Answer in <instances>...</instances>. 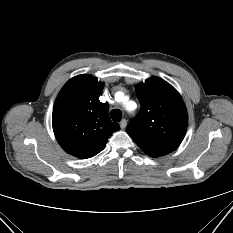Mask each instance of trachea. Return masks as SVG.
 <instances>
[{
	"mask_svg": "<svg viewBox=\"0 0 233 233\" xmlns=\"http://www.w3.org/2000/svg\"><path fill=\"white\" fill-rule=\"evenodd\" d=\"M110 116L115 122H119L122 118V111L120 109H112L110 111Z\"/></svg>",
	"mask_w": 233,
	"mask_h": 233,
	"instance_id": "3493384b",
	"label": "trachea"
}]
</instances>
